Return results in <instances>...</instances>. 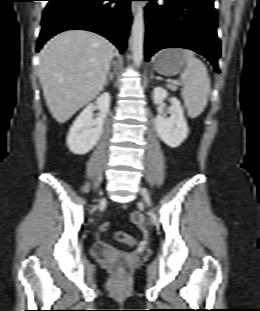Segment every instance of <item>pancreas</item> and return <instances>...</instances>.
<instances>
[{"label":"pancreas","instance_id":"1","mask_svg":"<svg viewBox=\"0 0 260 311\" xmlns=\"http://www.w3.org/2000/svg\"><path fill=\"white\" fill-rule=\"evenodd\" d=\"M167 88H169L172 91H176L177 90V86L176 85H172V84H168Z\"/></svg>","mask_w":260,"mask_h":311}]
</instances>
